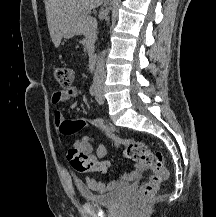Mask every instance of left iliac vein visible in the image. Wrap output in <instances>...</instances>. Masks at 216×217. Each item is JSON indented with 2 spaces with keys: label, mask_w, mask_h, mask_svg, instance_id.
Instances as JSON below:
<instances>
[{
  "label": "left iliac vein",
  "mask_w": 216,
  "mask_h": 217,
  "mask_svg": "<svg viewBox=\"0 0 216 217\" xmlns=\"http://www.w3.org/2000/svg\"><path fill=\"white\" fill-rule=\"evenodd\" d=\"M95 99H96V101L99 104H103L104 103V96H103V89H102V87H100L98 89Z\"/></svg>",
  "instance_id": "obj_1"
}]
</instances>
